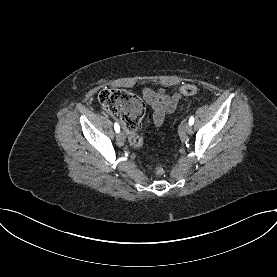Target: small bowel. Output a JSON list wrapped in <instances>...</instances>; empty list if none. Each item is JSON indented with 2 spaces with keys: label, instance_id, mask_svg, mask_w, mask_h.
<instances>
[{
  "label": "small bowel",
  "instance_id": "small-bowel-1",
  "mask_svg": "<svg viewBox=\"0 0 277 277\" xmlns=\"http://www.w3.org/2000/svg\"><path fill=\"white\" fill-rule=\"evenodd\" d=\"M142 95L153 109L151 121L156 127L162 125L166 115L177 113L180 110L181 94L179 92L170 95L163 89L144 88Z\"/></svg>",
  "mask_w": 277,
  "mask_h": 277
}]
</instances>
